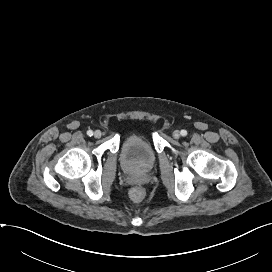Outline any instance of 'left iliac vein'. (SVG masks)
<instances>
[{"instance_id":"4c4485c4","label":"left iliac vein","mask_w":272,"mask_h":272,"mask_svg":"<svg viewBox=\"0 0 272 272\" xmlns=\"http://www.w3.org/2000/svg\"><path fill=\"white\" fill-rule=\"evenodd\" d=\"M173 137H174L175 139H179V138H180V132H179L178 130H175V131L173 132Z\"/></svg>"}]
</instances>
